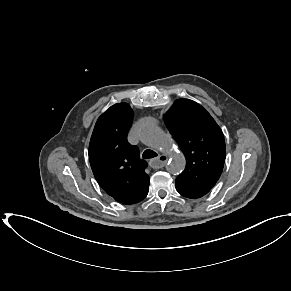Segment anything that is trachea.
Instances as JSON below:
<instances>
[{
  "label": "trachea",
  "instance_id": "trachea-1",
  "mask_svg": "<svg viewBox=\"0 0 291 291\" xmlns=\"http://www.w3.org/2000/svg\"><path fill=\"white\" fill-rule=\"evenodd\" d=\"M156 156H157V153H155L154 151L149 150V149L145 150L143 152V155H142V157L144 159H150V158H153V157H156Z\"/></svg>",
  "mask_w": 291,
  "mask_h": 291
}]
</instances>
